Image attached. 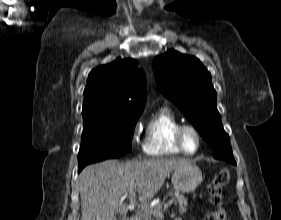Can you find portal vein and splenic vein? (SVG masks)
<instances>
[{"label":"portal vein and splenic vein","mask_w":281,"mask_h":220,"mask_svg":"<svg viewBox=\"0 0 281 220\" xmlns=\"http://www.w3.org/2000/svg\"><path fill=\"white\" fill-rule=\"evenodd\" d=\"M129 196L130 199H133L135 197V192H130L127 194ZM126 195V196H127ZM174 203V198L168 200L165 204H164V209H167L168 207H170L172 204ZM144 212H148V213H154L160 217L163 216L162 212H157L156 210H154L153 207H149L147 205H140L139 206Z\"/></svg>","instance_id":"obj_1"}]
</instances>
